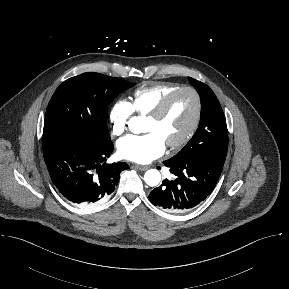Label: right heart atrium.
Returning <instances> with one entry per match:
<instances>
[{
	"mask_svg": "<svg viewBox=\"0 0 289 289\" xmlns=\"http://www.w3.org/2000/svg\"><path fill=\"white\" fill-rule=\"evenodd\" d=\"M132 114L133 108L129 101L118 99L113 103L109 111V122L115 136H120L126 132Z\"/></svg>",
	"mask_w": 289,
	"mask_h": 289,
	"instance_id": "d8ad5b80",
	"label": "right heart atrium"
}]
</instances>
